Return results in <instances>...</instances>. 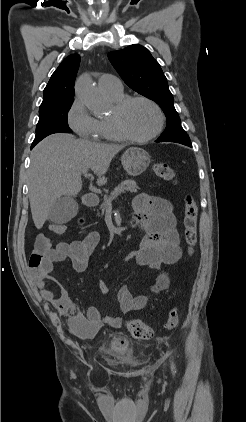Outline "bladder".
<instances>
[{
  "mask_svg": "<svg viewBox=\"0 0 246 422\" xmlns=\"http://www.w3.org/2000/svg\"><path fill=\"white\" fill-rule=\"evenodd\" d=\"M106 352L112 357H120L127 354L128 345L123 344L118 338H113L107 345Z\"/></svg>",
  "mask_w": 246,
  "mask_h": 422,
  "instance_id": "31cf9c89",
  "label": "bladder"
}]
</instances>
